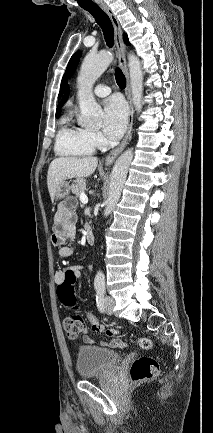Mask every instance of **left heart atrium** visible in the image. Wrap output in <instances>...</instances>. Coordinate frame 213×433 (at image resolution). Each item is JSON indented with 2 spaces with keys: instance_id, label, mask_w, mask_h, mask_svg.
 I'll return each mask as SVG.
<instances>
[{
  "instance_id": "39dd6f15",
  "label": "left heart atrium",
  "mask_w": 213,
  "mask_h": 433,
  "mask_svg": "<svg viewBox=\"0 0 213 433\" xmlns=\"http://www.w3.org/2000/svg\"><path fill=\"white\" fill-rule=\"evenodd\" d=\"M127 125V108L119 97L109 98L103 109V131L112 140L122 136Z\"/></svg>"
}]
</instances>
